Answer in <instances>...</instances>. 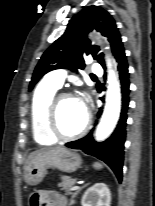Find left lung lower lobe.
Segmentation results:
<instances>
[{"mask_svg":"<svg viewBox=\"0 0 155 206\" xmlns=\"http://www.w3.org/2000/svg\"><path fill=\"white\" fill-rule=\"evenodd\" d=\"M117 68L121 81L122 93V109L118 125L113 134L103 142H96L92 137V133L87 136L65 144L66 147L72 149H81L86 154L95 156L110 166L117 176L119 182L122 181V167L124 160V142H125V126L127 120V109L129 104V73L128 64L123 46L118 49L115 54ZM101 100H103L101 98ZM102 114V110L98 111V116Z\"/></svg>","mask_w":155,"mask_h":206,"instance_id":"left-lung-lower-lobe-1","label":"left lung lower lobe"}]
</instances>
